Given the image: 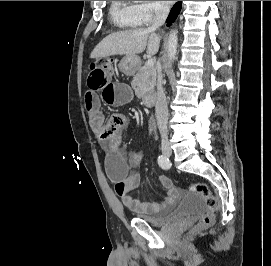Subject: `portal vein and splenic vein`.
I'll return each instance as SVG.
<instances>
[{"mask_svg": "<svg viewBox=\"0 0 271 266\" xmlns=\"http://www.w3.org/2000/svg\"><path fill=\"white\" fill-rule=\"evenodd\" d=\"M148 66L153 67L154 66V60L153 59H149L146 63Z\"/></svg>", "mask_w": 271, "mask_h": 266, "instance_id": "18ae733b", "label": "portal vein and splenic vein"}]
</instances>
